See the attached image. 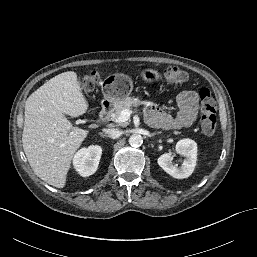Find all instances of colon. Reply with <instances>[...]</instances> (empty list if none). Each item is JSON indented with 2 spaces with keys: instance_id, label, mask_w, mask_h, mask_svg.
<instances>
[{
  "instance_id": "5ec220e1",
  "label": "colon",
  "mask_w": 257,
  "mask_h": 257,
  "mask_svg": "<svg viewBox=\"0 0 257 257\" xmlns=\"http://www.w3.org/2000/svg\"><path fill=\"white\" fill-rule=\"evenodd\" d=\"M163 77L171 84L180 85L189 78L187 72L178 67H169L163 71ZM100 79L98 72L92 71L85 75L82 80V86L86 90H92ZM201 102L200 126L204 134L212 135L216 129V105L207 88H201L199 91Z\"/></svg>"
}]
</instances>
